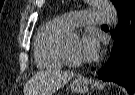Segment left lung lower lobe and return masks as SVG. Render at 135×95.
Masks as SVG:
<instances>
[{"mask_svg": "<svg viewBox=\"0 0 135 95\" xmlns=\"http://www.w3.org/2000/svg\"><path fill=\"white\" fill-rule=\"evenodd\" d=\"M114 38L110 59L98 72V77L113 81L132 94L135 88V8L118 19Z\"/></svg>", "mask_w": 135, "mask_h": 95, "instance_id": "left-lung-lower-lobe-1", "label": "left lung lower lobe"}]
</instances>
